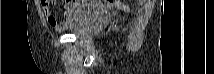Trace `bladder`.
Masks as SVG:
<instances>
[{
    "label": "bladder",
    "mask_w": 214,
    "mask_h": 74,
    "mask_svg": "<svg viewBox=\"0 0 214 74\" xmlns=\"http://www.w3.org/2000/svg\"><path fill=\"white\" fill-rule=\"evenodd\" d=\"M110 18V13L104 7L87 2L75 11L64 30L78 37L93 36Z\"/></svg>",
    "instance_id": "31cf9c89"
}]
</instances>
